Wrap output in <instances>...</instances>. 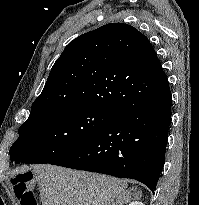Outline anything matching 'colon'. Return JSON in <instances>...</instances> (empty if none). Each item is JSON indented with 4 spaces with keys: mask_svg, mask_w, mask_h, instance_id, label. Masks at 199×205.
Here are the masks:
<instances>
[{
    "mask_svg": "<svg viewBox=\"0 0 199 205\" xmlns=\"http://www.w3.org/2000/svg\"><path fill=\"white\" fill-rule=\"evenodd\" d=\"M32 176L28 173L18 174L12 179V185L16 198L20 205H37L32 189L29 184Z\"/></svg>",
    "mask_w": 199,
    "mask_h": 205,
    "instance_id": "1",
    "label": "colon"
}]
</instances>
